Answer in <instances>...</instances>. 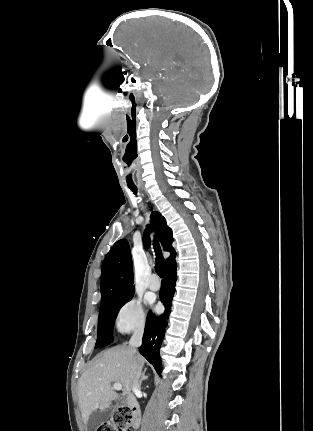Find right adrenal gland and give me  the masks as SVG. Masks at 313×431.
I'll return each instance as SVG.
<instances>
[{"mask_svg": "<svg viewBox=\"0 0 313 431\" xmlns=\"http://www.w3.org/2000/svg\"><path fill=\"white\" fill-rule=\"evenodd\" d=\"M146 371H147V368H145V369L143 370V372H142L141 379H140V382H139L140 387H141L142 382H143L144 380H147V379H148V376H146V375H145Z\"/></svg>", "mask_w": 313, "mask_h": 431, "instance_id": "1", "label": "right adrenal gland"}]
</instances>
